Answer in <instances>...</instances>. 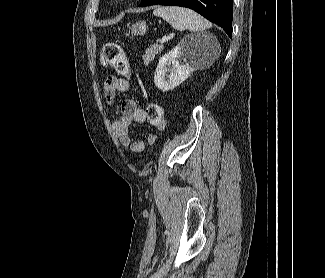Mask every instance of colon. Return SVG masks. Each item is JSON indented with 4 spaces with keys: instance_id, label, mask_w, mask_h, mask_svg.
I'll list each match as a JSON object with an SVG mask.
<instances>
[{
    "instance_id": "1",
    "label": "colon",
    "mask_w": 325,
    "mask_h": 278,
    "mask_svg": "<svg viewBox=\"0 0 325 278\" xmlns=\"http://www.w3.org/2000/svg\"><path fill=\"white\" fill-rule=\"evenodd\" d=\"M100 63L103 67H111L117 73H128V63L124 49L116 43H106L101 52ZM147 122L161 127L165 120L164 110L158 104H149L145 110Z\"/></svg>"
}]
</instances>
